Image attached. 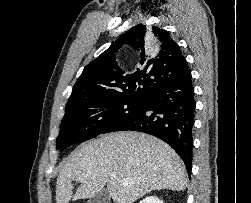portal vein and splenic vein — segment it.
Returning a JSON list of instances; mask_svg holds the SVG:
<instances>
[{
	"label": "portal vein and splenic vein",
	"mask_w": 251,
	"mask_h": 203,
	"mask_svg": "<svg viewBox=\"0 0 251 203\" xmlns=\"http://www.w3.org/2000/svg\"><path fill=\"white\" fill-rule=\"evenodd\" d=\"M116 177H117V175L114 173L110 175V179H112V180L115 179ZM123 182L127 183L125 180H123Z\"/></svg>",
	"instance_id": "1"
}]
</instances>
